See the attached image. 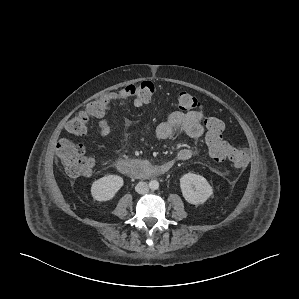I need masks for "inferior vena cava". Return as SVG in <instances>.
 <instances>
[{
  "label": "inferior vena cava",
  "instance_id": "1",
  "mask_svg": "<svg viewBox=\"0 0 299 299\" xmlns=\"http://www.w3.org/2000/svg\"><path fill=\"white\" fill-rule=\"evenodd\" d=\"M135 190L139 194H145L149 191V186L146 182H139L136 185Z\"/></svg>",
  "mask_w": 299,
  "mask_h": 299
}]
</instances>
